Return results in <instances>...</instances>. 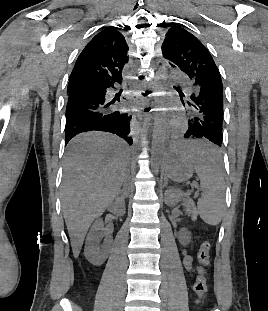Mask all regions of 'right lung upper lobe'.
<instances>
[{
  "instance_id": "1",
  "label": "right lung upper lobe",
  "mask_w": 268,
  "mask_h": 311,
  "mask_svg": "<svg viewBox=\"0 0 268 311\" xmlns=\"http://www.w3.org/2000/svg\"><path fill=\"white\" fill-rule=\"evenodd\" d=\"M128 49L124 36L115 27L99 32L77 58L68 88L78 84L98 85L121 78L128 62Z\"/></svg>"
}]
</instances>
